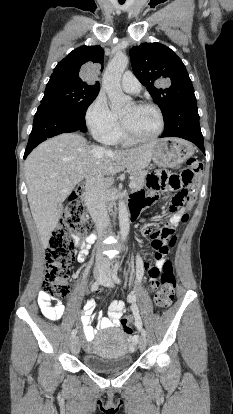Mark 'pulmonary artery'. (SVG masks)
<instances>
[{"instance_id": "e3ab8cb5", "label": "pulmonary artery", "mask_w": 233, "mask_h": 414, "mask_svg": "<svg viewBox=\"0 0 233 414\" xmlns=\"http://www.w3.org/2000/svg\"><path fill=\"white\" fill-rule=\"evenodd\" d=\"M121 87L126 92L138 93L140 91L141 84L131 71H126L121 78Z\"/></svg>"}]
</instances>
